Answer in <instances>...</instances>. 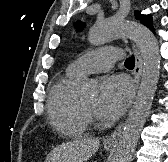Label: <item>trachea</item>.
<instances>
[{
  "instance_id": "trachea-1",
  "label": "trachea",
  "mask_w": 168,
  "mask_h": 162,
  "mask_svg": "<svg viewBox=\"0 0 168 162\" xmlns=\"http://www.w3.org/2000/svg\"><path fill=\"white\" fill-rule=\"evenodd\" d=\"M125 66L127 68H133L135 66V58L133 55L126 59Z\"/></svg>"
}]
</instances>
